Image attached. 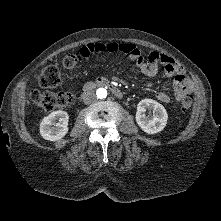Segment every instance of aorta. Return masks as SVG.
Listing matches in <instances>:
<instances>
[{"label":"aorta","instance_id":"aorta-1","mask_svg":"<svg viewBox=\"0 0 221 221\" xmlns=\"http://www.w3.org/2000/svg\"><path fill=\"white\" fill-rule=\"evenodd\" d=\"M96 95L99 99H104L107 96V90L105 88H99L96 91Z\"/></svg>","mask_w":221,"mask_h":221}]
</instances>
